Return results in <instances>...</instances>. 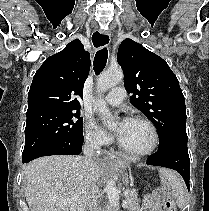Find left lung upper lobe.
Masks as SVG:
<instances>
[{
  "label": "left lung upper lobe",
  "mask_w": 209,
  "mask_h": 211,
  "mask_svg": "<svg viewBox=\"0 0 209 211\" xmlns=\"http://www.w3.org/2000/svg\"><path fill=\"white\" fill-rule=\"evenodd\" d=\"M117 61L124 71L125 88L133 94L130 102L158 130L159 149L187 136L184 96L166 61L131 39L120 44Z\"/></svg>",
  "instance_id": "obj_1"
}]
</instances>
